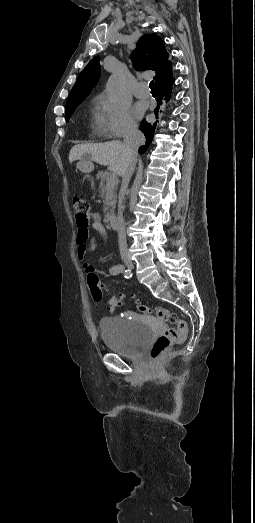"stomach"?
<instances>
[{
	"mask_svg": "<svg viewBox=\"0 0 255 523\" xmlns=\"http://www.w3.org/2000/svg\"><path fill=\"white\" fill-rule=\"evenodd\" d=\"M81 172H91L93 164H79Z\"/></svg>",
	"mask_w": 255,
	"mask_h": 523,
	"instance_id": "stomach-1",
	"label": "stomach"
}]
</instances>
